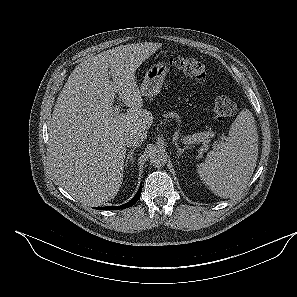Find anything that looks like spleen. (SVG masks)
Wrapping results in <instances>:
<instances>
[{
    "mask_svg": "<svg viewBox=\"0 0 297 297\" xmlns=\"http://www.w3.org/2000/svg\"><path fill=\"white\" fill-rule=\"evenodd\" d=\"M258 157V133L254 117L242 110L232 123L226 141L217 144L197 166L202 182L214 194L231 198L249 182Z\"/></svg>",
    "mask_w": 297,
    "mask_h": 297,
    "instance_id": "3e777b00",
    "label": "spleen"
}]
</instances>
